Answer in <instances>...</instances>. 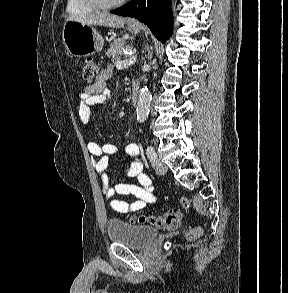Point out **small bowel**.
I'll list each match as a JSON object with an SVG mask.
<instances>
[{
  "mask_svg": "<svg viewBox=\"0 0 288 293\" xmlns=\"http://www.w3.org/2000/svg\"><path fill=\"white\" fill-rule=\"evenodd\" d=\"M112 74V67L108 66L98 75V81L92 86H86L79 94L78 114L83 124H88L91 118V107L105 103L110 97L107 80ZM89 153L96 157L95 169L103 185V196L109 207L119 213L136 212L142 210L147 204L155 202L151 179L143 171V165L138 159L139 147L135 143H129L124 151L129 160L126 169L128 177L135 178L138 184L118 183L110 185L109 156L118 151V146L112 143L99 144L94 141L87 143ZM116 195H132L136 200L128 203L116 199Z\"/></svg>",
  "mask_w": 288,
  "mask_h": 293,
  "instance_id": "1",
  "label": "small bowel"
}]
</instances>
